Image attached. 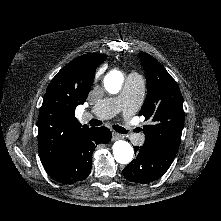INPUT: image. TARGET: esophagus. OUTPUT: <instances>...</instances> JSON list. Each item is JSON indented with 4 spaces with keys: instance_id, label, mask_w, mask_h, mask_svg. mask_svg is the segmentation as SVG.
Here are the masks:
<instances>
[{
    "instance_id": "1",
    "label": "esophagus",
    "mask_w": 221,
    "mask_h": 221,
    "mask_svg": "<svg viewBox=\"0 0 221 221\" xmlns=\"http://www.w3.org/2000/svg\"><path fill=\"white\" fill-rule=\"evenodd\" d=\"M123 138V136L117 132H113L112 133V140L115 141V140H118V139H121Z\"/></svg>"
}]
</instances>
